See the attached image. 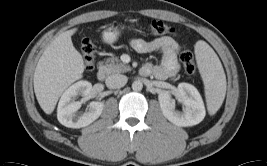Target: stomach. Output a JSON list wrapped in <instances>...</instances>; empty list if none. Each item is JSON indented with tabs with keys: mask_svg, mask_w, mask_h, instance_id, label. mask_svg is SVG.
<instances>
[{
	"mask_svg": "<svg viewBox=\"0 0 267 166\" xmlns=\"http://www.w3.org/2000/svg\"><path fill=\"white\" fill-rule=\"evenodd\" d=\"M121 34V28L111 25L102 34V40L107 44L116 42Z\"/></svg>",
	"mask_w": 267,
	"mask_h": 166,
	"instance_id": "obj_1",
	"label": "stomach"
}]
</instances>
